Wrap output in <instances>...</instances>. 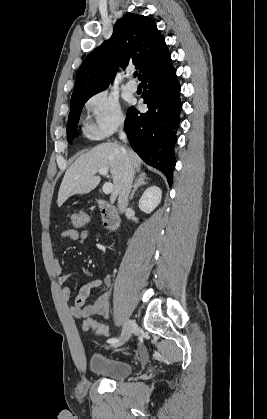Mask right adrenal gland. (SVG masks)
<instances>
[{
  "label": "right adrenal gland",
  "instance_id": "right-adrenal-gland-1",
  "mask_svg": "<svg viewBox=\"0 0 267 419\" xmlns=\"http://www.w3.org/2000/svg\"><path fill=\"white\" fill-rule=\"evenodd\" d=\"M148 179H149V178H147V177L145 176V174H140V175L136 178V180H135V184H134V186H133V190H132L131 195H130V200H132V199H133V197H134V194H135L136 190H137L140 186L147 184V182H146V181H147Z\"/></svg>",
  "mask_w": 267,
  "mask_h": 419
}]
</instances>
